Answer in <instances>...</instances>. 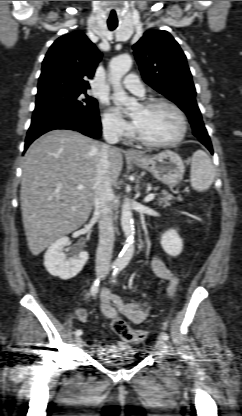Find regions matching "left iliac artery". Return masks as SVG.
Segmentation results:
<instances>
[{
    "label": "left iliac artery",
    "instance_id": "left-iliac-artery-1",
    "mask_svg": "<svg viewBox=\"0 0 242 416\" xmlns=\"http://www.w3.org/2000/svg\"><path fill=\"white\" fill-rule=\"evenodd\" d=\"M125 267V265L124 264H119L116 268H115V270L113 271V273H112V278H113V282H116V276L118 275V273L123 269ZM161 337L164 339V340H168L169 339V336H168V334L167 333H165V332H162L161 333Z\"/></svg>",
    "mask_w": 242,
    "mask_h": 416
}]
</instances>
